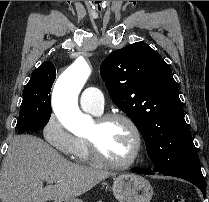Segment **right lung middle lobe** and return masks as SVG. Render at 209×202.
Masks as SVG:
<instances>
[{
    "label": "right lung middle lobe",
    "mask_w": 209,
    "mask_h": 202,
    "mask_svg": "<svg viewBox=\"0 0 209 202\" xmlns=\"http://www.w3.org/2000/svg\"><path fill=\"white\" fill-rule=\"evenodd\" d=\"M55 78L34 77L25 86L17 123L18 132H37L46 126L51 116L50 92Z\"/></svg>",
    "instance_id": "1"
}]
</instances>
